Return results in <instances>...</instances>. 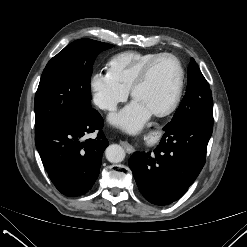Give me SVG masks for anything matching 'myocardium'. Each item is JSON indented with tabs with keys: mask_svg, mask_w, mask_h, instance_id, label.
<instances>
[{
	"mask_svg": "<svg viewBox=\"0 0 247 247\" xmlns=\"http://www.w3.org/2000/svg\"><path fill=\"white\" fill-rule=\"evenodd\" d=\"M166 57L171 58L176 62L177 68H178V80H177L175 91H174L170 101L167 103V105H165L163 108L151 111V114H153L155 116H159V117L166 116V115L170 114L177 107V105L181 99V95H182V91H183V83H184V70H183V67H182V64H181V61L179 60V58L172 53L158 54L157 56L152 58L148 63H146V65L138 73L137 77L135 78V80L133 81V83L130 87L131 97L135 98V93H136L137 89L146 81V79H147L150 71L152 70L153 66L159 60H161L162 58H166Z\"/></svg>",
	"mask_w": 247,
	"mask_h": 247,
	"instance_id": "1",
	"label": "myocardium"
}]
</instances>
